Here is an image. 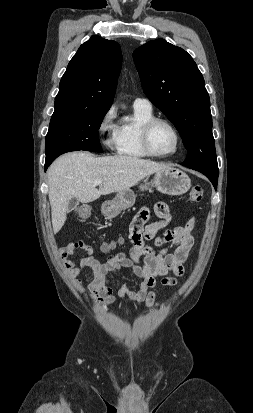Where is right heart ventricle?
Returning <instances> with one entry per match:
<instances>
[{
    "label": "right heart ventricle",
    "instance_id": "right-heart-ventricle-1",
    "mask_svg": "<svg viewBox=\"0 0 253 413\" xmlns=\"http://www.w3.org/2000/svg\"><path fill=\"white\" fill-rule=\"evenodd\" d=\"M154 117L152 109L134 107L133 116L121 122L117 152L129 158H146L140 140V129L144 122Z\"/></svg>",
    "mask_w": 253,
    "mask_h": 413
}]
</instances>
